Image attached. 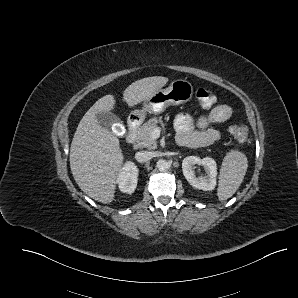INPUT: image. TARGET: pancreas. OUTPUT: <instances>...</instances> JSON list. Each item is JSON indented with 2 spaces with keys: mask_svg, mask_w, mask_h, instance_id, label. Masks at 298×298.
<instances>
[{
  "mask_svg": "<svg viewBox=\"0 0 298 298\" xmlns=\"http://www.w3.org/2000/svg\"><path fill=\"white\" fill-rule=\"evenodd\" d=\"M159 125L161 128L165 127L162 116L150 118L138 128L136 139L141 148H147L149 150L157 148V141L151 138V132L154 128L159 127Z\"/></svg>",
  "mask_w": 298,
  "mask_h": 298,
  "instance_id": "obj_1",
  "label": "pancreas"
}]
</instances>
